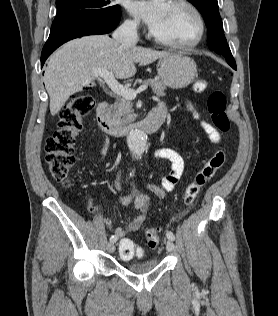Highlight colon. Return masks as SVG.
<instances>
[{"mask_svg":"<svg viewBox=\"0 0 278 316\" xmlns=\"http://www.w3.org/2000/svg\"><path fill=\"white\" fill-rule=\"evenodd\" d=\"M207 88L205 80H197L193 89L200 93ZM227 100L222 91H213L207 99V108L214 127L227 133L230 121L226 114ZM94 106L93 99L88 95L79 96L68 103L60 113V119L55 132L46 140V164L51 176L62 186L70 185L69 173L75 163V145L78 134L82 131V119L88 115ZM226 155L224 150H217L195 174L187 185L183 202L186 207H191L196 201L203 186L224 165ZM160 239L157 229L146 231V243L149 248L155 249ZM119 252L122 258L130 259L133 256L141 257L143 250L136 247L130 239H122L119 243Z\"/></svg>","mask_w":278,"mask_h":316,"instance_id":"5ec220e1","label":"colon"}]
</instances>
